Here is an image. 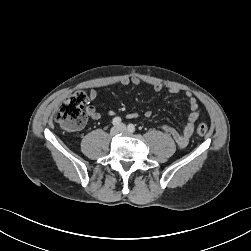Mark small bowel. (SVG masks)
<instances>
[{
    "mask_svg": "<svg viewBox=\"0 0 251 251\" xmlns=\"http://www.w3.org/2000/svg\"><path fill=\"white\" fill-rule=\"evenodd\" d=\"M140 83H141V80L136 76H132V77L124 76L120 80V84L122 85H129V84L139 85ZM153 89L157 92L161 91L162 85L159 83L153 84ZM169 92L176 94V93H179L180 90L178 88L172 87L169 89ZM97 96H98V93L96 90L94 89L90 90L89 101L90 102L94 101L97 98ZM186 97L188 98L190 113L187 116L182 132L179 133L172 127L163 126V130L166 133H168L174 139L176 144L180 147H185L188 144L189 139L194 132L195 123L200 116V110H199V106L196 99L193 97V95L190 92H186ZM86 115L92 120H99L101 118V114L92 105H89L86 107ZM144 115L145 117L149 118L152 115V112L148 110L144 113ZM128 117L137 118L139 117V114L130 113Z\"/></svg>",
    "mask_w": 251,
    "mask_h": 251,
    "instance_id": "c3829d8e",
    "label": "small bowel"
}]
</instances>
